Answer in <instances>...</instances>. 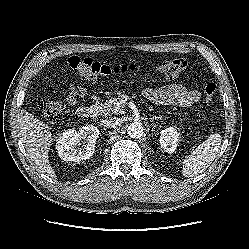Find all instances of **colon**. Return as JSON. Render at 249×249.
<instances>
[{"label": "colon", "mask_w": 249, "mask_h": 249, "mask_svg": "<svg viewBox=\"0 0 249 249\" xmlns=\"http://www.w3.org/2000/svg\"><path fill=\"white\" fill-rule=\"evenodd\" d=\"M67 63L82 78L89 80H95L111 75L136 73L145 69L142 65L134 62L110 65L100 63L90 57L80 56L69 57ZM188 64L189 61L185 58H173L152 65L150 70L164 78L172 79L183 72L188 67ZM215 92V83L209 82L204 86L203 93L206 103L209 104L212 102ZM38 104L43 116L50 122L56 121L62 111V103L58 100L41 99Z\"/></svg>", "instance_id": "5ec220e1"}]
</instances>
